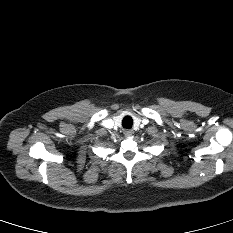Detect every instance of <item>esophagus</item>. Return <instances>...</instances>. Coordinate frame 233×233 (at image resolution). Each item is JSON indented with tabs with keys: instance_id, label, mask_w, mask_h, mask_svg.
Returning a JSON list of instances; mask_svg holds the SVG:
<instances>
[{
	"instance_id": "34e87169",
	"label": "esophagus",
	"mask_w": 233,
	"mask_h": 233,
	"mask_svg": "<svg viewBox=\"0 0 233 233\" xmlns=\"http://www.w3.org/2000/svg\"><path fill=\"white\" fill-rule=\"evenodd\" d=\"M132 134H133V130H131V129L124 130V135L126 137H130Z\"/></svg>"
}]
</instances>
